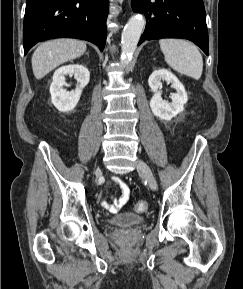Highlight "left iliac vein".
Here are the masks:
<instances>
[{"mask_svg":"<svg viewBox=\"0 0 243 289\" xmlns=\"http://www.w3.org/2000/svg\"><path fill=\"white\" fill-rule=\"evenodd\" d=\"M137 171L139 174L147 181L151 190H157V182L155 177L150 169V167L142 160H139L137 163Z\"/></svg>","mask_w":243,"mask_h":289,"instance_id":"left-iliac-vein-1","label":"left iliac vein"}]
</instances>
